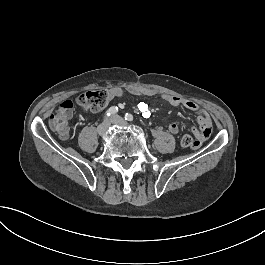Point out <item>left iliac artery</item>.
<instances>
[{
  "mask_svg": "<svg viewBox=\"0 0 265 265\" xmlns=\"http://www.w3.org/2000/svg\"><path fill=\"white\" fill-rule=\"evenodd\" d=\"M124 118L127 121H133V119H134L133 116L131 114H129V113H126L125 116H124Z\"/></svg>",
  "mask_w": 265,
  "mask_h": 265,
  "instance_id": "obj_1",
  "label": "left iliac artery"
}]
</instances>
